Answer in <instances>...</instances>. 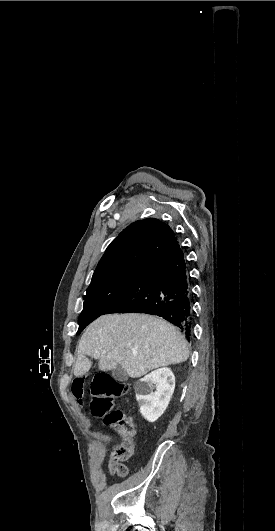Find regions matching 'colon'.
<instances>
[{"label":"colon","instance_id":"obj_1","mask_svg":"<svg viewBox=\"0 0 275 531\" xmlns=\"http://www.w3.org/2000/svg\"><path fill=\"white\" fill-rule=\"evenodd\" d=\"M89 384L92 396L89 404L91 414L94 417L102 418L107 427L115 428L121 438L120 443L116 445L112 453L111 469L121 476H126L129 468L124 461L129 456L135 430V417L133 414L114 408V406L121 396L129 392V384L110 376L105 371L97 372L91 383L88 375L79 374L77 378L68 379V394L72 395V401H83V396L88 394Z\"/></svg>","mask_w":275,"mask_h":531}]
</instances>
